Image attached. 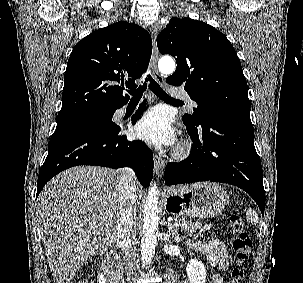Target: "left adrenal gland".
Wrapping results in <instances>:
<instances>
[{
  "label": "left adrenal gland",
  "mask_w": 303,
  "mask_h": 283,
  "mask_svg": "<svg viewBox=\"0 0 303 283\" xmlns=\"http://www.w3.org/2000/svg\"><path fill=\"white\" fill-rule=\"evenodd\" d=\"M167 234L169 237H173L175 240H179L178 230L175 229L170 222H167Z\"/></svg>",
  "instance_id": "a2214340"
}]
</instances>
